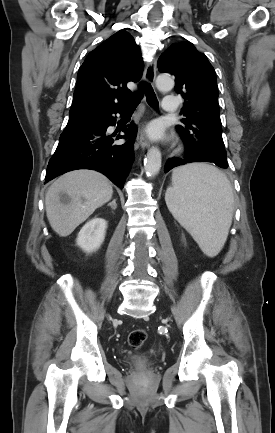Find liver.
<instances>
[{
  "mask_svg": "<svg viewBox=\"0 0 275 433\" xmlns=\"http://www.w3.org/2000/svg\"><path fill=\"white\" fill-rule=\"evenodd\" d=\"M66 193L68 203L60 194ZM113 188L103 174L93 170H75L60 176L45 196L46 215L52 229L61 237L70 235L97 208L109 202Z\"/></svg>",
  "mask_w": 275,
  "mask_h": 433,
  "instance_id": "6515ba94",
  "label": "liver"
}]
</instances>
